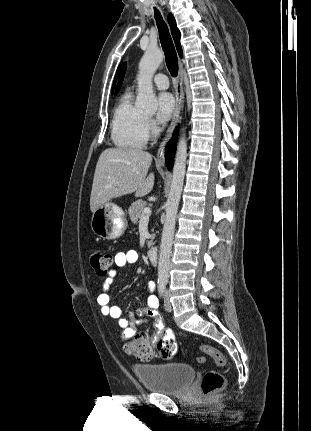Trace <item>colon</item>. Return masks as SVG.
<instances>
[{"instance_id":"obj_1","label":"colon","mask_w":311,"mask_h":431,"mask_svg":"<svg viewBox=\"0 0 311 431\" xmlns=\"http://www.w3.org/2000/svg\"><path fill=\"white\" fill-rule=\"evenodd\" d=\"M112 260V255L105 250L95 249L90 254V264L96 274L100 277L107 276ZM199 349L204 354L213 358L218 367L223 368L226 366L227 360L218 349L208 345H201L199 346ZM124 351L129 355L135 356L141 361H149L156 355H160L163 358L172 357L177 351V345L174 338L171 337H164L159 342L154 343L150 342L148 338L140 334L125 342ZM205 361L206 359L204 356L197 358L198 363H204ZM224 385L225 378L223 374L217 370L208 371L203 376L201 382L202 392L205 396L222 389Z\"/></svg>"}]
</instances>
